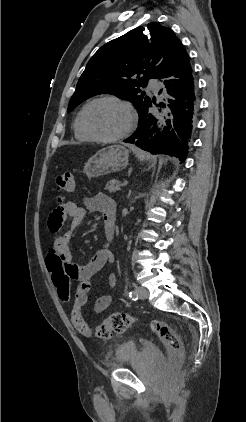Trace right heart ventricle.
I'll use <instances>...</instances> for the list:
<instances>
[{"mask_svg": "<svg viewBox=\"0 0 246 422\" xmlns=\"http://www.w3.org/2000/svg\"><path fill=\"white\" fill-rule=\"evenodd\" d=\"M81 113L82 110H80L75 118L74 121V134L77 140L82 142H90L92 139L85 133L82 123H81Z\"/></svg>", "mask_w": 246, "mask_h": 422, "instance_id": "1", "label": "right heart ventricle"}]
</instances>
